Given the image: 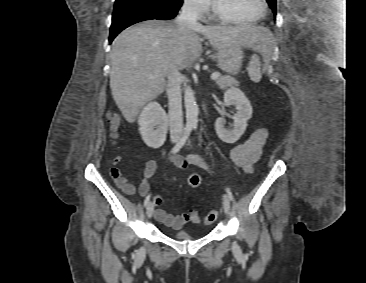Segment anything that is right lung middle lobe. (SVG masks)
Returning <instances> with one entry per match:
<instances>
[{
  "mask_svg": "<svg viewBox=\"0 0 366 283\" xmlns=\"http://www.w3.org/2000/svg\"><path fill=\"white\" fill-rule=\"evenodd\" d=\"M161 1L168 8L176 9L180 8L182 5V0H158Z\"/></svg>",
  "mask_w": 366,
  "mask_h": 283,
  "instance_id": "1",
  "label": "right lung middle lobe"
}]
</instances>
